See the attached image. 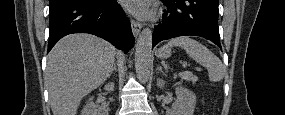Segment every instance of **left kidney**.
Instances as JSON below:
<instances>
[{"label": "left kidney", "instance_id": "obj_1", "mask_svg": "<svg viewBox=\"0 0 285 115\" xmlns=\"http://www.w3.org/2000/svg\"><path fill=\"white\" fill-rule=\"evenodd\" d=\"M163 85L164 82L159 80L158 86L163 87ZM175 93L177 99L167 115H193L196 104L195 94L181 86L176 88Z\"/></svg>", "mask_w": 285, "mask_h": 115}]
</instances>
